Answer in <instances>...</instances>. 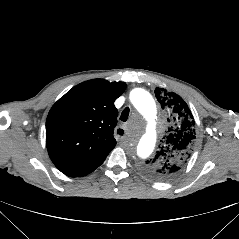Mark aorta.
<instances>
[{"label": "aorta", "mask_w": 239, "mask_h": 239, "mask_svg": "<svg viewBox=\"0 0 239 239\" xmlns=\"http://www.w3.org/2000/svg\"><path fill=\"white\" fill-rule=\"evenodd\" d=\"M130 100L143 118L148 121L142 131L141 140L132 145L133 153L140 159H145L153 151L159 130L157 122L152 120L156 116V104L150 93L142 88L133 89L130 93Z\"/></svg>", "instance_id": "aorta-1"}]
</instances>
